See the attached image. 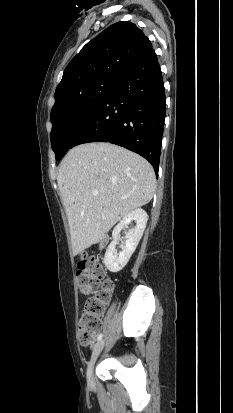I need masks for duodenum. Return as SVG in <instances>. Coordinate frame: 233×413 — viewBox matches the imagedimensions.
Wrapping results in <instances>:
<instances>
[{"instance_id": "duodenum-1", "label": "duodenum", "mask_w": 233, "mask_h": 413, "mask_svg": "<svg viewBox=\"0 0 233 413\" xmlns=\"http://www.w3.org/2000/svg\"><path fill=\"white\" fill-rule=\"evenodd\" d=\"M104 242H105V241L103 240V241L101 242V245H103V244H104Z\"/></svg>"}]
</instances>
